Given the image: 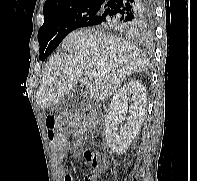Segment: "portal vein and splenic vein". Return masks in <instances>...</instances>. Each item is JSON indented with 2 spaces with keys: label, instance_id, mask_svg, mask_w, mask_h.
Masks as SVG:
<instances>
[{
  "label": "portal vein and splenic vein",
  "instance_id": "18ae733b",
  "mask_svg": "<svg viewBox=\"0 0 197 181\" xmlns=\"http://www.w3.org/2000/svg\"><path fill=\"white\" fill-rule=\"evenodd\" d=\"M85 75L88 76L90 79H93L97 76H99V73L97 72H91V71H85Z\"/></svg>",
  "mask_w": 197,
  "mask_h": 181
}]
</instances>
